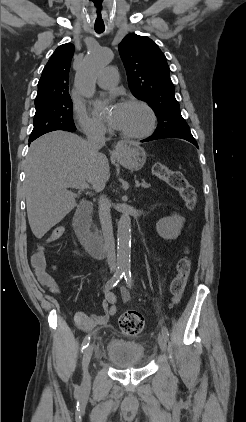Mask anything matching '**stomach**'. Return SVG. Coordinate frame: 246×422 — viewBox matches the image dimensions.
Returning a JSON list of instances; mask_svg holds the SVG:
<instances>
[{"label": "stomach", "mask_w": 246, "mask_h": 422, "mask_svg": "<svg viewBox=\"0 0 246 422\" xmlns=\"http://www.w3.org/2000/svg\"><path fill=\"white\" fill-rule=\"evenodd\" d=\"M117 159L124 167L138 171L146 162V152L134 142H123L116 151Z\"/></svg>", "instance_id": "1"}]
</instances>
